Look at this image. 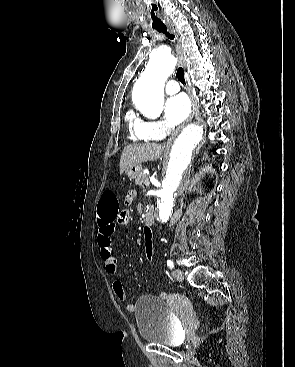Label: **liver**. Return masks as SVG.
<instances>
[{"mask_svg": "<svg viewBox=\"0 0 295 367\" xmlns=\"http://www.w3.org/2000/svg\"><path fill=\"white\" fill-rule=\"evenodd\" d=\"M163 151V146L155 143L132 144L123 149L120 159V174L131 166L147 161L157 160Z\"/></svg>", "mask_w": 295, "mask_h": 367, "instance_id": "1", "label": "liver"}]
</instances>
